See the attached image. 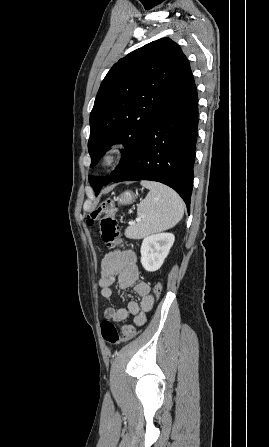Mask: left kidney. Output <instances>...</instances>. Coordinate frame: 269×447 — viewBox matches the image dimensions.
I'll list each match as a JSON object with an SVG mask.
<instances>
[{"instance_id":"obj_1","label":"left kidney","mask_w":269,"mask_h":447,"mask_svg":"<svg viewBox=\"0 0 269 447\" xmlns=\"http://www.w3.org/2000/svg\"><path fill=\"white\" fill-rule=\"evenodd\" d=\"M173 233H154L144 237L141 245V263L147 271L161 267L174 243Z\"/></svg>"}]
</instances>
